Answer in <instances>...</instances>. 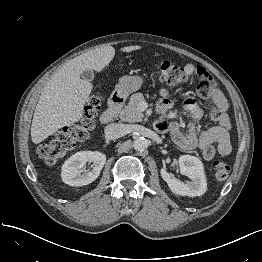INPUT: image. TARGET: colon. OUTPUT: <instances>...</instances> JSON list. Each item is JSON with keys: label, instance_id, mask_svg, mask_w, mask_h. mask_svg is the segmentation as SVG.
<instances>
[{"label": "colon", "instance_id": "obj_1", "mask_svg": "<svg viewBox=\"0 0 262 262\" xmlns=\"http://www.w3.org/2000/svg\"><path fill=\"white\" fill-rule=\"evenodd\" d=\"M158 79L161 83L169 86H178L187 81V75L183 67L168 61H159L155 64ZM100 105V98L92 95L85 110V117L77 124L67 127L56 139L41 144L37 153L38 156L49 165L64 158L73 151L79 142L87 136L94 127V117ZM213 173L217 180H225L230 173V166L218 159L213 164Z\"/></svg>", "mask_w": 262, "mask_h": 262}]
</instances>
